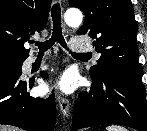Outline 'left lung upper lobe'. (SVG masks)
I'll return each mask as SVG.
<instances>
[{
  "label": "left lung upper lobe",
  "mask_w": 147,
  "mask_h": 131,
  "mask_svg": "<svg viewBox=\"0 0 147 131\" xmlns=\"http://www.w3.org/2000/svg\"><path fill=\"white\" fill-rule=\"evenodd\" d=\"M85 14L78 35H88L101 57L91 67L92 78L115 74L142 83L136 43L137 23L130 0H69Z\"/></svg>",
  "instance_id": "1"
}]
</instances>
